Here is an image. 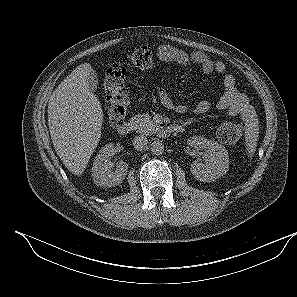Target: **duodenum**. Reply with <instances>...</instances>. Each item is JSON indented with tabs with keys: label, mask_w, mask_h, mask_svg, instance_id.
<instances>
[{
	"label": "duodenum",
	"mask_w": 297,
	"mask_h": 297,
	"mask_svg": "<svg viewBox=\"0 0 297 297\" xmlns=\"http://www.w3.org/2000/svg\"><path fill=\"white\" fill-rule=\"evenodd\" d=\"M134 128H135V122L132 120H129V121L122 122L118 126L117 131L121 135H128V134L132 133ZM182 131H183V127L181 125L174 124V125H169V126H165V127L161 128L159 131V135L161 137H168L171 134L180 133Z\"/></svg>",
	"instance_id": "1"
}]
</instances>
